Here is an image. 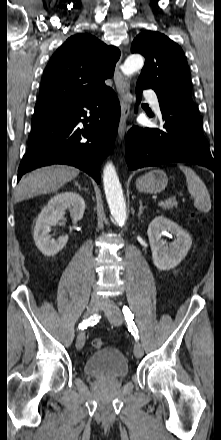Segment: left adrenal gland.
<instances>
[{"label":"left adrenal gland","instance_id":"1","mask_svg":"<svg viewBox=\"0 0 221 440\" xmlns=\"http://www.w3.org/2000/svg\"><path fill=\"white\" fill-rule=\"evenodd\" d=\"M139 212H138V217H140L143 213V210L146 208L142 205V200H139Z\"/></svg>","mask_w":221,"mask_h":440}]
</instances>
